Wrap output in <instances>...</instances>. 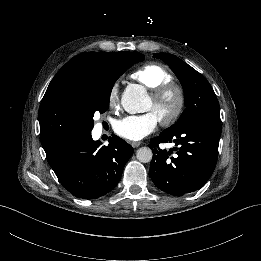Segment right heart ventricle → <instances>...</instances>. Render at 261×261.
I'll return each mask as SVG.
<instances>
[{"instance_id":"right-heart-ventricle-1","label":"right heart ventricle","mask_w":261,"mask_h":261,"mask_svg":"<svg viewBox=\"0 0 261 261\" xmlns=\"http://www.w3.org/2000/svg\"><path fill=\"white\" fill-rule=\"evenodd\" d=\"M132 77L145 86L148 90L154 91L160 85L171 82L170 72L158 63H148L137 69Z\"/></svg>"}]
</instances>
